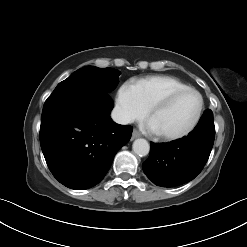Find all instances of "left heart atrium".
I'll return each mask as SVG.
<instances>
[{"instance_id":"1","label":"left heart atrium","mask_w":247,"mask_h":247,"mask_svg":"<svg viewBox=\"0 0 247 247\" xmlns=\"http://www.w3.org/2000/svg\"><path fill=\"white\" fill-rule=\"evenodd\" d=\"M144 127L147 128V129H148L149 131H151V132H155V129H154V127L152 126L150 120L147 121V122L144 124Z\"/></svg>"}]
</instances>
